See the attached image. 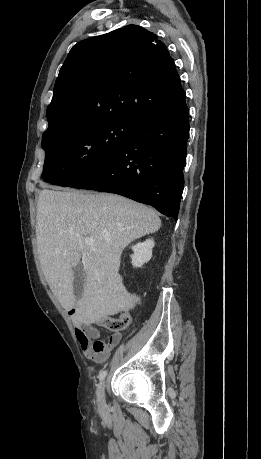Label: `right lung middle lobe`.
<instances>
[{"label":"right lung middle lobe","instance_id":"obj_1","mask_svg":"<svg viewBox=\"0 0 261 459\" xmlns=\"http://www.w3.org/2000/svg\"><path fill=\"white\" fill-rule=\"evenodd\" d=\"M137 125L130 120H114L80 132L43 134V180L60 186L76 183L119 152Z\"/></svg>","mask_w":261,"mask_h":459}]
</instances>
